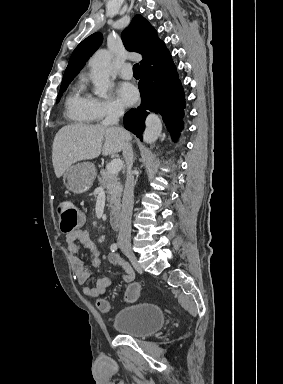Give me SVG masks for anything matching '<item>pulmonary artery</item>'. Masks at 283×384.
<instances>
[{
	"mask_svg": "<svg viewBox=\"0 0 283 384\" xmlns=\"http://www.w3.org/2000/svg\"><path fill=\"white\" fill-rule=\"evenodd\" d=\"M119 76L123 79H131L133 76L132 66L130 63H126L119 70Z\"/></svg>",
	"mask_w": 283,
	"mask_h": 384,
	"instance_id": "obj_1",
	"label": "pulmonary artery"
}]
</instances>
